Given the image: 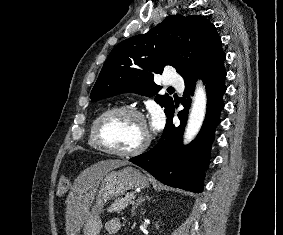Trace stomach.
Here are the masks:
<instances>
[{
	"instance_id": "0dacf381",
	"label": "stomach",
	"mask_w": 283,
	"mask_h": 235,
	"mask_svg": "<svg viewBox=\"0 0 283 235\" xmlns=\"http://www.w3.org/2000/svg\"><path fill=\"white\" fill-rule=\"evenodd\" d=\"M148 185L147 176L131 166L108 172L102 178L95 194V202L84 220V235H98L100 233L102 229L101 213L109 199L121 196L128 190L146 188Z\"/></svg>"
}]
</instances>
